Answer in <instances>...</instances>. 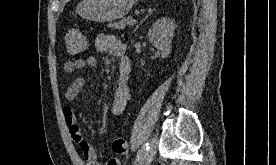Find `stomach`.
<instances>
[{
	"mask_svg": "<svg viewBox=\"0 0 276 165\" xmlns=\"http://www.w3.org/2000/svg\"><path fill=\"white\" fill-rule=\"evenodd\" d=\"M135 0H82L76 13L83 19L109 22L124 17Z\"/></svg>",
	"mask_w": 276,
	"mask_h": 165,
	"instance_id": "stomach-1",
	"label": "stomach"
}]
</instances>
